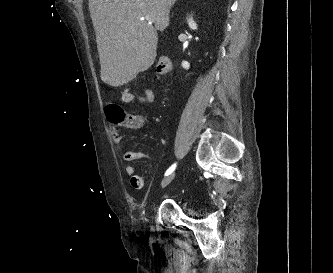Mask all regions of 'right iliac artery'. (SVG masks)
Returning <instances> with one entry per match:
<instances>
[{
    "mask_svg": "<svg viewBox=\"0 0 333 273\" xmlns=\"http://www.w3.org/2000/svg\"><path fill=\"white\" fill-rule=\"evenodd\" d=\"M176 168V163H174L165 173V176L171 174Z\"/></svg>",
    "mask_w": 333,
    "mask_h": 273,
    "instance_id": "obj_1",
    "label": "right iliac artery"
}]
</instances>
